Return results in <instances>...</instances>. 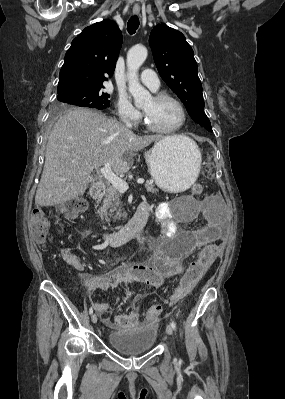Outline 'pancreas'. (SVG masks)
<instances>
[{
  "label": "pancreas",
  "instance_id": "pancreas-1",
  "mask_svg": "<svg viewBox=\"0 0 285 399\" xmlns=\"http://www.w3.org/2000/svg\"><path fill=\"white\" fill-rule=\"evenodd\" d=\"M145 188L147 192L150 193H155L156 191H158V189L155 188L153 180L146 181ZM119 199H120L119 190L115 188L113 185L108 186L104 194L102 206L98 211L101 220L105 219L106 222L110 221V218L112 217L113 213H115L117 207L120 206ZM116 218L117 217L115 216L114 219Z\"/></svg>",
  "mask_w": 285,
  "mask_h": 399
}]
</instances>
